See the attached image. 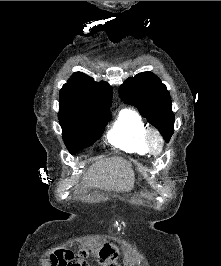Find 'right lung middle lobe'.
Wrapping results in <instances>:
<instances>
[{
  "label": "right lung middle lobe",
  "mask_w": 221,
  "mask_h": 266,
  "mask_svg": "<svg viewBox=\"0 0 221 266\" xmlns=\"http://www.w3.org/2000/svg\"><path fill=\"white\" fill-rule=\"evenodd\" d=\"M59 122L63 140L71 154L92 145L103 133L111 115H82L59 105Z\"/></svg>",
  "instance_id": "1"
}]
</instances>
